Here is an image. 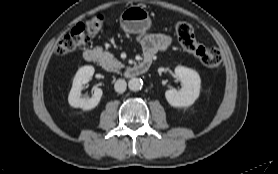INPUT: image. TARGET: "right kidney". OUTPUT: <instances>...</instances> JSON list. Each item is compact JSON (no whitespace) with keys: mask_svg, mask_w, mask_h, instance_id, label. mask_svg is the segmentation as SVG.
Returning <instances> with one entry per match:
<instances>
[{"mask_svg":"<svg viewBox=\"0 0 278 174\" xmlns=\"http://www.w3.org/2000/svg\"><path fill=\"white\" fill-rule=\"evenodd\" d=\"M93 74V66H83L77 71L73 80L71 91L68 96V102L72 107L82 108L83 110H91L99 104L103 94V91L100 88H95L94 94L91 98L81 97L83 85L89 82Z\"/></svg>","mask_w":278,"mask_h":174,"instance_id":"right-kidney-1","label":"right kidney"}]
</instances>
